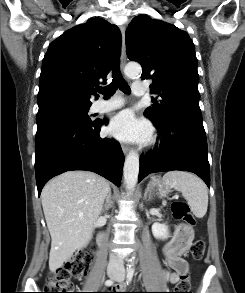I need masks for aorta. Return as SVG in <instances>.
<instances>
[{"label": "aorta", "instance_id": "obj_1", "mask_svg": "<svg viewBox=\"0 0 245 293\" xmlns=\"http://www.w3.org/2000/svg\"><path fill=\"white\" fill-rule=\"evenodd\" d=\"M142 72L138 63H129L124 69V73L128 77L138 76ZM139 174V155L135 151H130L126 156L123 175L125 187L128 191H134Z\"/></svg>", "mask_w": 245, "mask_h": 293}]
</instances>
